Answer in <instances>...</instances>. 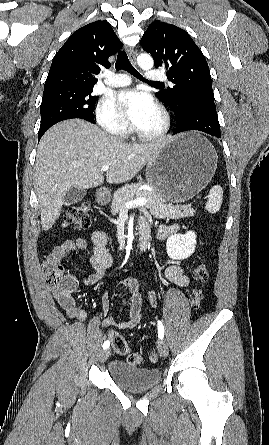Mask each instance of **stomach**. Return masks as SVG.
Returning <instances> with one entry per match:
<instances>
[{"label":"stomach","mask_w":269,"mask_h":445,"mask_svg":"<svg viewBox=\"0 0 269 445\" xmlns=\"http://www.w3.org/2000/svg\"><path fill=\"white\" fill-rule=\"evenodd\" d=\"M217 168V153L211 143L195 132L171 137L148 160L146 179L156 194L172 203L196 196L211 180ZM107 204V193L97 196Z\"/></svg>","instance_id":"stomach-1"}]
</instances>
